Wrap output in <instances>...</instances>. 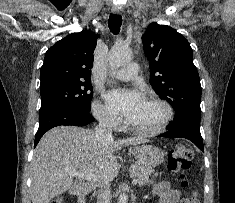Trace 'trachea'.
<instances>
[{"instance_id": "1", "label": "trachea", "mask_w": 235, "mask_h": 203, "mask_svg": "<svg viewBox=\"0 0 235 203\" xmlns=\"http://www.w3.org/2000/svg\"><path fill=\"white\" fill-rule=\"evenodd\" d=\"M122 24V16L111 14L108 20V26L113 34H118Z\"/></svg>"}]
</instances>
